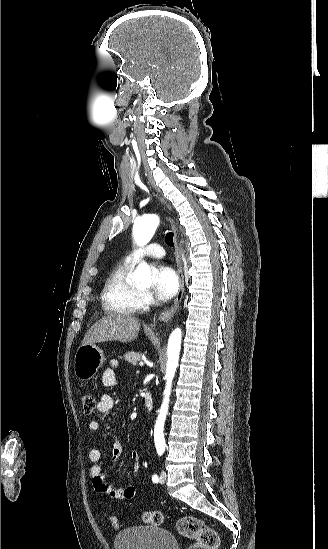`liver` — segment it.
Masks as SVG:
<instances>
[{
    "instance_id": "liver-1",
    "label": "liver",
    "mask_w": 328,
    "mask_h": 549,
    "mask_svg": "<svg viewBox=\"0 0 328 549\" xmlns=\"http://www.w3.org/2000/svg\"><path fill=\"white\" fill-rule=\"evenodd\" d=\"M140 327L138 319L132 317V315L111 313V315L102 317L90 327L82 341V345L105 343V341L132 343L137 339Z\"/></svg>"
}]
</instances>
